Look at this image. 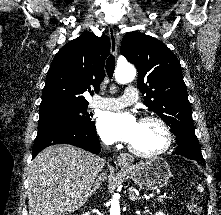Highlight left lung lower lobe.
Returning a JSON list of instances; mask_svg holds the SVG:
<instances>
[{"mask_svg":"<svg viewBox=\"0 0 221 215\" xmlns=\"http://www.w3.org/2000/svg\"><path fill=\"white\" fill-rule=\"evenodd\" d=\"M173 154L181 155L189 159H194L196 161L202 162L205 164L204 158L201 153L199 145L193 144L191 142H185L178 144L175 152Z\"/></svg>","mask_w":221,"mask_h":215,"instance_id":"1","label":"left lung lower lobe"}]
</instances>
